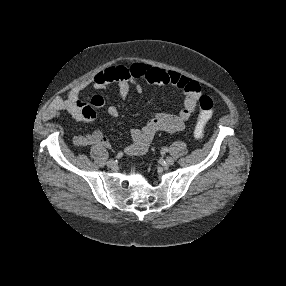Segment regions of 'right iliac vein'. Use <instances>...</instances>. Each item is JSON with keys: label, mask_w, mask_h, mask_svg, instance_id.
I'll use <instances>...</instances> for the list:
<instances>
[{"label": "right iliac vein", "mask_w": 286, "mask_h": 286, "mask_svg": "<svg viewBox=\"0 0 286 286\" xmlns=\"http://www.w3.org/2000/svg\"><path fill=\"white\" fill-rule=\"evenodd\" d=\"M107 166L109 167V168H115L116 167V162L114 161V160H109L108 162H107Z\"/></svg>", "instance_id": "1"}]
</instances>
